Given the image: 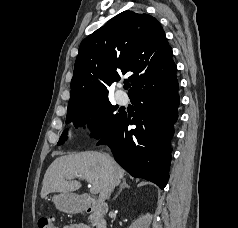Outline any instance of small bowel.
Masks as SVG:
<instances>
[{"mask_svg": "<svg viewBox=\"0 0 238 228\" xmlns=\"http://www.w3.org/2000/svg\"><path fill=\"white\" fill-rule=\"evenodd\" d=\"M63 228H90V227L83 223H71L64 226Z\"/></svg>", "mask_w": 238, "mask_h": 228, "instance_id": "c3829d8e", "label": "small bowel"}]
</instances>
